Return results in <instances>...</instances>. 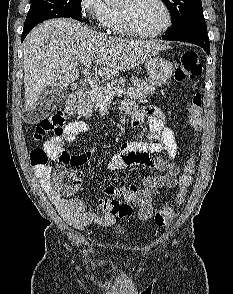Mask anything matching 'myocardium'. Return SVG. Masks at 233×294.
<instances>
[{
  "label": "myocardium",
  "instance_id": "obj_1",
  "mask_svg": "<svg viewBox=\"0 0 233 294\" xmlns=\"http://www.w3.org/2000/svg\"><path fill=\"white\" fill-rule=\"evenodd\" d=\"M156 2L164 10L166 20H165L164 25L160 29H158L157 31H154V32L146 33V32H141V31L137 30L131 21L129 9L126 7L120 8L122 24H123L125 32L128 35L138 37V38H154V37L162 35L170 28V26L172 24V14H171L170 8L168 7V5L166 4V2L164 0H156Z\"/></svg>",
  "mask_w": 233,
  "mask_h": 294
}]
</instances>
